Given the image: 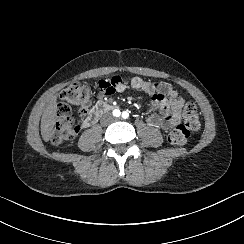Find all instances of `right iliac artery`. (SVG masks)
Instances as JSON below:
<instances>
[{"instance_id": "obj_1", "label": "right iliac artery", "mask_w": 244, "mask_h": 244, "mask_svg": "<svg viewBox=\"0 0 244 244\" xmlns=\"http://www.w3.org/2000/svg\"><path fill=\"white\" fill-rule=\"evenodd\" d=\"M120 114H121V112H120V110H118V109H115V110L113 111V115H114L115 117H119Z\"/></svg>"}]
</instances>
